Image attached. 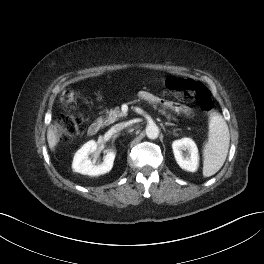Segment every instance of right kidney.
<instances>
[{"label": "right kidney", "mask_w": 264, "mask_h": 264, "mask_svg": "<svg viewBox=\"0 0 264 264\" xmlns=\"http://www.w3.org/2000/svg\"><path fill=\"white\" fill-rule=\"evenodd\" d=\"M97 150V143L90 140L85 143L74 155L72 169L83 175L98 176L109 172L113 167L115 153L109 151L104 156V161L101 164H94L91 162L89 155Z\"/></svg>", "instance_id": "right-kidney-1"}]
</instances>
